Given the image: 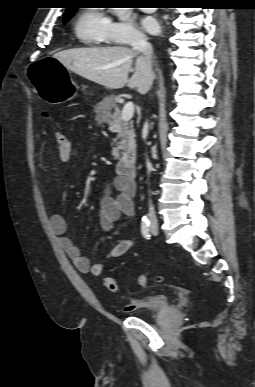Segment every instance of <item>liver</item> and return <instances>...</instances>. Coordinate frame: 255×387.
Masks as SVG:
<instances>
[{
  "mask_svg": "<svg viewBox=\"0 0 255 387\" xmlns=\"http://www.w3.org/2000/svg\"><path fill=\"white\" fill-rule=\"evenodd\" d=\"M53 57L72 72L107 89L127 86L141 93L149 84L144 57L125 46L69 49ZM131 71L133 74L129 78ZM154 77L153 73L152 82Z\"/></svg>",
  "mask_w": 255,
  "mask_h": 387,
  "instance_id": "obj_1",
  "label": "liver"
}]
</instances>
